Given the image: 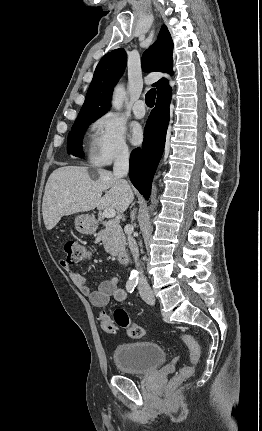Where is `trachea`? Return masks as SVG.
Returning <instances> with one entry per match:
<instances>
[{
	"label": "trachea",
	"mask_w": 262,
	"mask_h": 431,
	"mask_svg": "<svg viewBox=\"0 0 262 431\" xmlns=\"http://www.w3.org/2000/svg\"><path fill=\"white\" fill-rule=\"evenodd\" d=\"M155 95H156V92H155V89H154V88L150 89V90L146 93V96H145V103H146V105H147L148 107H153V106H154V104H155Z\"/></svg>",
	"instance_id": "obj_1"
}]
</instances>
